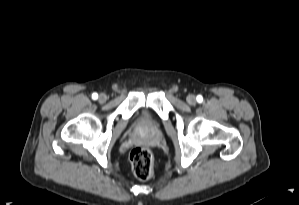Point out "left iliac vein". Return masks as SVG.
Instances as JSON below:
<instances>
[{"mask_svg":"<svg viewBox=\"0 0 299 205\" xmlns=\"http://www.w3.org/2000/svg\"><path fill=\"white\" fill-rule=\"evenodd\" d=\"M188 104L195 105L196 104V97L194 95H188L186 98Z\"/></svg>","mask_w":299,"mask_h":205,"instance_id":"obj_1","label":"left iliac vein"}]
</instances>
